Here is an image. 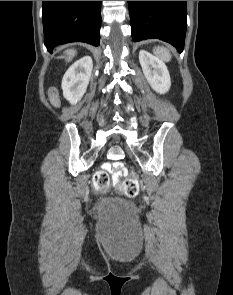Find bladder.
Returning a JSON list of instances; mask_svg holds the SVG:
<instances>
[{"mask_svg": "<svg viewBox=\"0 0 233 295\" xmlns=\"http://www.w3.org/2000/svg\"><path fill=\"white\" fill-rule=\"evenodd\" d=\"M98 210L106 219H133L132 205L124 200L105 197L98 203Z\"/></svg>", "mask_w": 233, "mask_h": 295, "instance_id": "1", "label": "bladder"}]
</instances>
